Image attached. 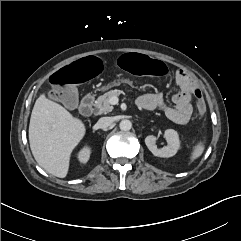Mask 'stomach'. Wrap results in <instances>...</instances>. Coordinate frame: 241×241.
Listing matches in <instances>:
<instances>
[{
  "instance_id": "obj_1",
  "label": "stomach",
  "mask_w": 241,
  "mask_h": 241,
  "mask_svg": "<svg viewBox=\"0 0 241 241\" xmlns=\"http://www.w3.org/2000/svg\"><path fill=\"white\" fill-rule=\"evenodd\" d=\"M121 83L131 84V81L129 79H124V78L123 79H119L117 81H113L111 84H109L107 86V88L120 85Z\"/></svg>"
}]
</instances>
